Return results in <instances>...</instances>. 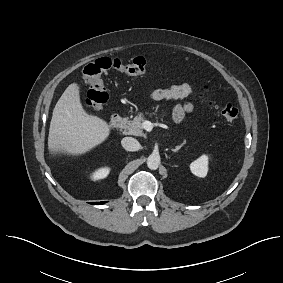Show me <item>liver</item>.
Returning <instances> with one entry per match:
<instances>
[{"label": "liver", "mask_w": 283, "mask_h": 283, "mask_svg": "<svg viewBox=\"0 0 283 283\" xmlns=\"http://www.w3.org/2000/svg\"><path fill=\"white\" fill-rule=\"evenodd\" d=\"M109 135L108 123L84 109L78 83L70 84L53 110L48 136L49 153L84 155L102 144Z\"/></svg>", "instance_id": "liver-1"}]
</instances>
